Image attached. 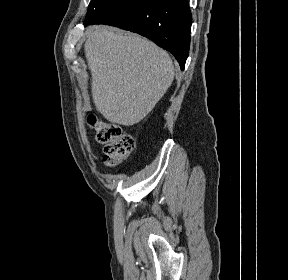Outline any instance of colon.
<instances>
[{"label":"colon","mask_w":288,"mask_h":280,"mask_svg":"<svg viewBox=\"0 0 288 280\" xmlns=\"http://www.w3.org/2000/svg\"><path fill=\"white\" fill-rule=\"evenodd\" d=\"M90 127L95 131L96 140L104 146V162L114 167L123 163L135 146L134 138L115 124L108 123L93 115L88 117Z\"/></svg>","instance_id":"colon-1"}]
</instances>
